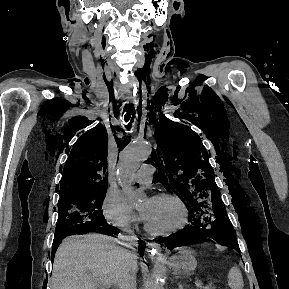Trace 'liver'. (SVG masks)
Returning a JSON list of instances; mask_svg holds the SVG:
<instances>
[{
	"label": "liver",
	"instance_id": "1",
	"mask_svg": "<svg viewBox=\"0 0 289 289\" xmlns=\"http://www.w3.org/2000/svg\"><path fill=\"white\" fill-rule=\"evenodd\" d=\"M129 251L99 234L72 236L58 247L52 289H100L104 282L119 287ZM138 270L137 260L133 274Z\"/></svg>",
	"mask_w": 289,
	"mask_h": 289
}]
</instances>
